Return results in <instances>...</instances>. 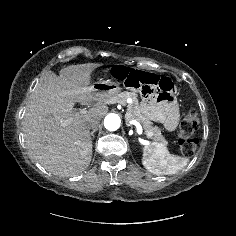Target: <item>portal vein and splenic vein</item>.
Here are the masks:
<instances>
[{
    "label": "portal vein and splenic vein",
    "instance_id": "1",
    "mask_svg": "<svg viewBox=\"0 0 236 236\" xmlns=\"http://www.w3.org/2000/svg\"><path fill=\"white\" fill-rule=\"evenodd\" d=\"M80 113H85V110L84 109H82L81 111H80ZM70 121H66V122H64V124H68ZM136 127H137V130H138V132H142V127H141V125L138 123V122H136ZM146 135H150V133H148V134H146Z\"/></svg>",
    "mask_w": 236,
    "mask_h": 236
}]
</instances>
